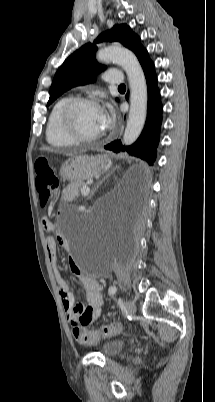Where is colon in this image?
I'll return each mask as SVG.
<instances>
[{"label":"colon","mask_w":215,"mask_h":402,"mask_svg":"<svg viewBox=\"0 0 215 402\" xmlns=\"http://www.w3.org/2000/svg\"><path fill=\"white\" fill-rule=\"evenodd\" d=\"M50 158H39L35 161L34 169L36 173L35 185L37 192L39 193V199L41 206H45L48 201L55 195L59 187V181L49 166ZM51 219L45 217L43 219L44 228L51 226ZM90 314L88 311L87 316ZM86 320V318L84 319ZM84 325H75L73 327V335L75 339L82 344H92L100 340L101 338H107L117 335L121 332L122 326L119 323H111L103 325L98 329L87 330Z\"/></svg>","instance_id":"1"}]
</instances>
